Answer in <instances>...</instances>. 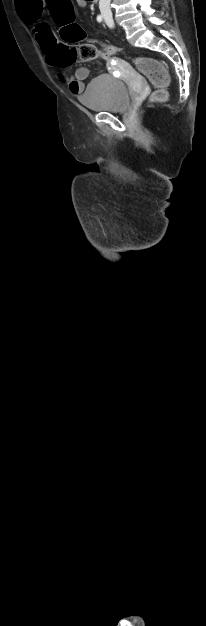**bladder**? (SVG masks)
Masks as SVG:
<instances>
[{"instance_id":"31cf9c89","label":"bladder","mask_w":206,"mask_h":626,"mask_svg":"<svg viewBox=\"0 0 206 626\" xmlns=\"http://www.w3.org/2000/svg\"><path fill=\"white\" fill-rule=\"evenodd\" d=\"M79 101L93 111L120 112L129 106L130 94L126 84L120 79L101 75L87 85Z\"/></svg>"}]
</instances>
